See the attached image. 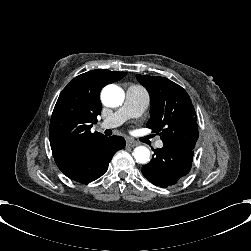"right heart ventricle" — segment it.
<instances>
[{
  "label": "right heart ventricle",
  "mask_w": 251,
  "mask_h": 251,
  "mask_svg": "<svg viewBox=\"0 0 251 251\" xmlns=\"http://www.w3.org/2000/svg\"><path fill=\"white\" fill-rule=\"evenodd\" d=\"M131 72H133V73H135V74H136L138 71H137V70H132Z\"/></svg>",
  "instance_id": "1"
}]
</instances>
